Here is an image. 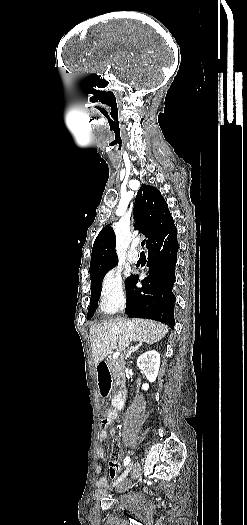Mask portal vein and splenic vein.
<instances>
[{"label": "portal vein and splenic vein", "mask_w": 247, "mask_h": 525, "mask_svg": "<svg viewBox=\"0 0 247 525\" xmlns=\"http://www.w3.org/2000/svg\"><path fill=\"white\" fill-rule=\"evenodd\" d=\"M119 355H120V353H118L117 351H114V352L112 353V355H111V358H112L113 360H116V359L118 358Z\"/></svg>", "instance_id": "18ae733b"}]
</instances>
